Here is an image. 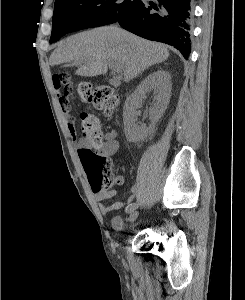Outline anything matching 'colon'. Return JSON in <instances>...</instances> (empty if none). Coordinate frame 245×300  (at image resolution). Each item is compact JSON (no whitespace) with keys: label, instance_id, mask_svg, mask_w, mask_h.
<instances>
[{"label":"colon","instance_id":"colon-1","mask_svg":"<svg viewBox=\"0 0 245 300\" xmlns=\"http://www.w3.org/2000/svg\"><path fill=\"white\" fill-rule=\"evenodd\" d=\"M52 81L55 89H64L66 94L73 90L71 77L67 73L53 75ZM77 92L83 101L92 103L106 115L112 114L118 103L117 95L110 86L92 88L89 83L81 82L77 86ZM80 125L83 139L89 146L81 148L78 154L92 189L101 192L115 183V177L110 171L109 160L98 153V147L102 143L99 120L94 114L83 112L80 114Z\"/></svg>","mask_w":245,"mask_h":300}]
</instances>
